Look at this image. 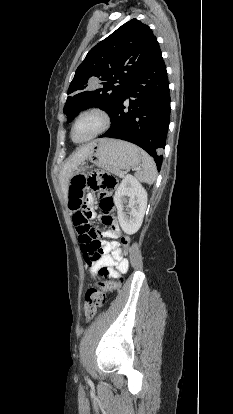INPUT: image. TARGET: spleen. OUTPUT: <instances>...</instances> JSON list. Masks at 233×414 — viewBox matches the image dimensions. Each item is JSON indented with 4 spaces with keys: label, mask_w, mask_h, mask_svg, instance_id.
I'll list each match as a JSON object with an SVG mask.
<instances>
[{
    "label": "spleen",
    "mask_w": 233,
    "mask_h": 414,
    "mask_svg": "<svg viewBox=\"0 0 233 414\" xmlns=\"http://www.w3.org/2000/svg\"><path fill=\"white\" fill-rule=\"evenodd\" d=\"M142 164L141 169L137 171L136 177L141 182L149 185L153 184L157 177V169L154 160L145 151H141Z\"/></svg>",
    "instance_id": "spleen-1"
}]
</instances>
